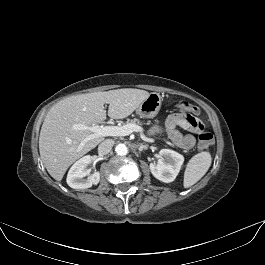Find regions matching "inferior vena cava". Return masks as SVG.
<instances>
[{
  "mask_svg": "<svg viewBox=\"0 0 265 265\" xmlns=\"http://www.w3.org/2000/svg\"><path fill=\"white\" fill-rule=\"evenodd\" d=\"M113 145H114V141L112 139H106L102 141L98 146V153L100 155L108 154L111 151Z\"/></svg>",
  "mask_w": 265,
  "mask_h": 265,
  "instance_id": "1",
  "label": "inferior vena cava"
}]
</instances>
